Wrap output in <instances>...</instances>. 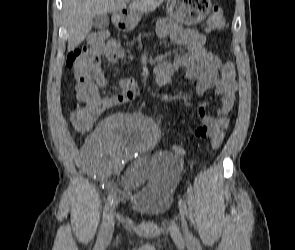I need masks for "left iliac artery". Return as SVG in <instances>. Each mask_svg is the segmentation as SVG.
I'll return each mask as SVG.
<instances>
[{
    "label": "left iliac artery",
    "instance_id": "left-iliac-artery-1",
    "mask_svg": "<svg viewBox=\"0 0 295 250\" xmlns=\"http://www.w3.org/2000/svg\"><path fill=\"white\" fill-rule=\"evenodd\" d=\"M179 206L183 209L185 214L188 213L187 206H186V203L184 200H182V199L179 200Z\"/></svg>",
    "mask_w": 295,
    "mask_h": 250
}]
</instances>
